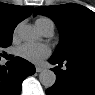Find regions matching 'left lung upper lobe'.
<instances>
[{
    "instance_id": "obj_1",
    "label": "left lung upper lobe",
    "mask_w": 95,
    "mask_h": 95,
    "mask_svg": "<svg viewBox=\"0 0 95 95\" xmlns=\"http://www.w3.org/2000/svg\"><path fill=\"white\" fill-rule=\"evenodd\" d=\"M34 15L50 17L61 34V41L53 55L60 60L95 58V13L79 4L41 6Z\"/></svg>"
}]
</instances>
